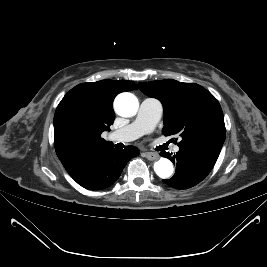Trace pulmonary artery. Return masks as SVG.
I'll return each mask as SVG.
<instances>
[{
	"instance_id": "e3ab8cb5",
	"label": "pulmonary artery",
	"mask_w": 267,
	"mask_h": 267,
	"mask_svg": "<svg viewBox=\"0 0 267 267\" xmlns=\"http://www.w3.org/2000/svg\"><path fill=\"white\" fill-rule=\"evenodd\" d=\"M162 113L163 107L160 101L154 98H146L141 102L134 121L111 133L110 139L116 142L133 141L151 132L160 120ZM173 151L178 152L179 147L174 146Z\"/></svg>"
}]
</instances>
